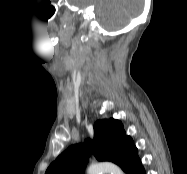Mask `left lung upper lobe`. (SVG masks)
<instances>
[{
	"label": "left lung upper lobe",
	"instance_id": "5c2ea615",
	"mask_svg": "<svg viewBox=\"0 0 187 174\" xmlns=\"http://www.w3.org/2000/svg\"><path fill=\"white\" fill-rule=\"evenodd\" d=\"M88 152L99 161H112L129 174L141 163L131 137L125 135L121 122L115 119L99 120L94 125V140L68 147L50 164L45 174H84Z\"/></svg>",
	"mask_w": 187,
	"mask_h": 174
}]
</instances>
